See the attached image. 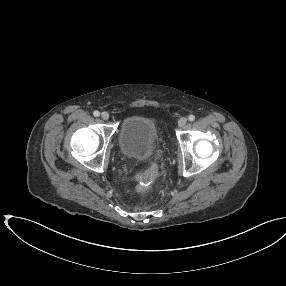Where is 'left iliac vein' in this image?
<instances>
[{
    "label": "left iliac vein",
    "mask_w": 286,
    "mask_h": 286,
    "mask_svg": "<svg viewBox=\"0 0 286 286\" xmlns=\"http://www.w3.org/2000/svg\"><path fill=\"white\" fill-rule=\"evenodd\" d=\"M186 123H187V118L186 117H182L178 121L179 127H184L186 125Z\"/></svg>",
    "instance_id": "4c4485c4"
}]
</instances>
